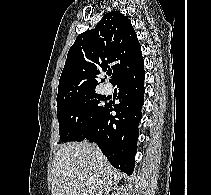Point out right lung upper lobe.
Instances as JSON below:
<instances>
[{
    "label": "right lung upper lobe",
    "instance_id": "right-lung-upper-lobe-1",
    "mask_svg": "<svg viewBox=\"0 0 211 195\" xmlns=\"http://www.w3.org/2000/svg\"><path fill=\"white\" fill-rule=\"evenodd\" d=\"M142 64L141 46L131 21L119 11H111L95 29L78 35L69 49L59 80L57 105L95 91L97 79L110 70L109 65L114 83Z\"/></svg>",
    "mask_w": 211,
    "mask_h": 195
}]
</instances>
